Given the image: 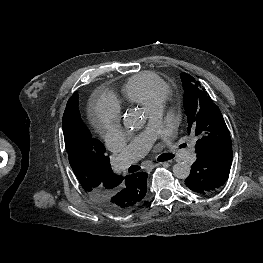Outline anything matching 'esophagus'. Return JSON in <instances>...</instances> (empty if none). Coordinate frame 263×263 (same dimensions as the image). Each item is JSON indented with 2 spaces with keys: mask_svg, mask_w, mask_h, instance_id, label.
I'll list each match as a JSON object with an SVG mask.
<instances>
[{
  "mask_svg": "<svg viewBox=\"0 0 263 263\" xmlns=\"http://www.w3.org/2000/svg\"><path fill=\"white\" fill-rule=\"evenodd\" d=\"M164 164H167V162L154 163V164L149 165V166L146 168V170H147V171H150V170L153 169L154 167H157V166H160V165H164Z\"/></svg>",
  "mask_w": 263,
  "mask_h": 263,
  "instance_id": "34e87169",
  "label": "esophagus"
}]
</instances>
